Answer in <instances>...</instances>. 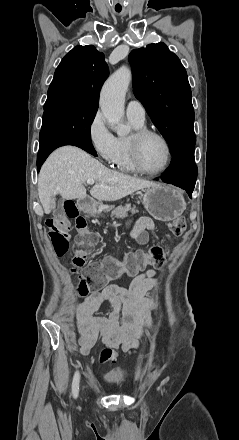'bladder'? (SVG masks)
<instances>
[{
    "label": "bladder",
    "mask_w": 239,
    "mask_h": 440,
    "mask_svg": "<svg viewBox=\"0 0 239 440\" xmlns=\"http://www.w3.org/2000/svg\"><path fill=\"white\" fill-rule=\"evenodd\" d=\"M103 381L110 386H119L125 381V373L122 370H112L103 376Z\"/></svg>",
    "instance_id": "obj_1"
}]
</instances>
